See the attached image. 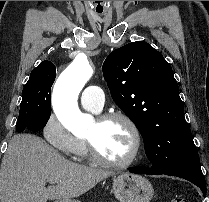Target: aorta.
Wrapping results in <instances>:
<instances>
[{
  "label": "aorta",
  "mask_w": 209,
  "mask_h": 202,
  "mask_svg": "<svg viewBox=\"0 0 209 202\" xmlns=\"http://www.w3.org/2000/svg\"><path fill=\"white\" fill-rule=\"evenodd\" d=\"M94 70L84 54H78L62 72L53 90V108L58 120L73 134L83 133L92 124L91 115L82 113L77 98Z\"/></svg>",
  "instance_id": "aorta-1"
}]
</instances>
